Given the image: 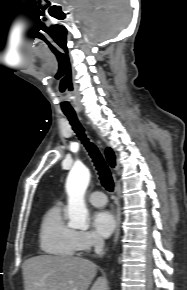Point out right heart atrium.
Masks as SVG:
<instances>
[{
    "instance_id": "d8ad5b80",
    "label": "right heart atrium",
    "mask_w": 187,
    "mask_h": 290,
    "mask_svg": "<svg viewBox=\"0 0 187 290\" xmlns=\"http://www.w3.org/2000/svg\"><path fill=\"white\" fill-rule=\"evenodd\" d=\"M75 241L78 251L87 252L102 244L101 239L89 231H75Z\"/></svg>"
}]
</instances>
